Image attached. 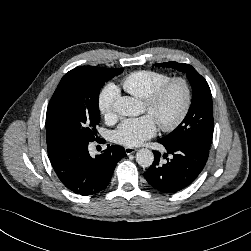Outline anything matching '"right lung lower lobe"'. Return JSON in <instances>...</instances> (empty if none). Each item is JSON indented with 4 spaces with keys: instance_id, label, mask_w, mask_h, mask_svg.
<instances>
[{
    "instance_id": "right-lung-lower-lobe-1",
    "label": "right lung lower lobe",
    "mask_w": 251,
    "mask_h": 251,
    "mask_svg": "<svg viewBox=\"0 0 251 251\" xmlns=\"http://www.w3.org/2000/svg\"><path fill=\"white\" fill-rule=\"evenodd\" d=\"M89 143L65 141L49 154L60 181L72 192L83 196L103 191L110 182L116 164L126 156L122 146L108 145L101 154L91 157Z\"/></svg>"
}]
</instances>
